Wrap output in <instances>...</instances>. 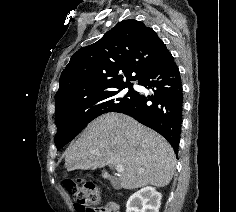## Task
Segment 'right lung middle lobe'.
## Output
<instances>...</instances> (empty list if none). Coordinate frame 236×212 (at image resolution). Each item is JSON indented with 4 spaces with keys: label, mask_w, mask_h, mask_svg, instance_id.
Wrapping results in <instances>:
<instances>
[{
    "label": "right lung middle lobe",
    "mask_w": 236,
    "mask_h": 212,
    "mask_svg": "<svg viewBox=\"0 0 236 212\" xmlns=\"http://www.w3.org/2000/svg\"><path fill=\"white\" fill-rule=\"evenodd\" d=\"M127 87L129 91L124 95L121 90ZM136 93L132 85H126L79 99L56 111L55 144L57 150L72 141L96 117L115 112L120 107L131 103Z\"/></svg>",
    "instance_id": "dd1d6c3e"
}]
</instances>
